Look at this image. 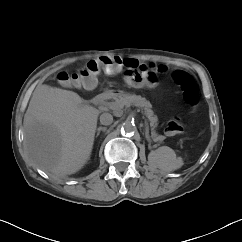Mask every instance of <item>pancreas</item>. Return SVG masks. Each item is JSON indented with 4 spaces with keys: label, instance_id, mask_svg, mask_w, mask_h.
<instances>
[{
    "label": "pancreas",
    "instance_id": "cf45deb5",
    "mask_svg": "<svg viewBox=\"0 0 242 242\" xmlns=\"http://www.w3.org/2000/svg\"><path fill=\"white\" fill-rule=\"evenodd\" d=\"M112 98L114 99L113 103H116L118 105V109H122L125 106H136L144 109V114L148 118L151 126V134L154 141H162L164 139L163 136L157 135L155 132V128L158 125V118L156 115H154V112L152 111V105L151 103L146 100L145 98L135 95V94H122V95H116L113 94Z\"/></svg>",
    "mask_w": 242,
    "mask_h": 242
}]
</instances>
